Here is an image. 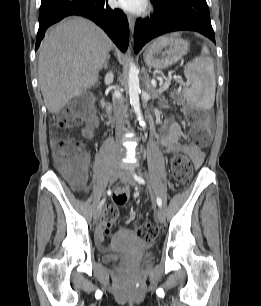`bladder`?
<instances>
[{
  "label": "bladder",
  "mask_w": 261,
  "mask_h": 306,
  "mask_svg": "<svg viewBox=\"0 0 261 306\" xmlns=\"http://www.w3.org/2000/svg\"><path fill=\"white\" fill-rule=\"evenodd\" d=\"M131 238H133L135 241L138 240L129 230L124 229L119 231L115 238V243L104 251L103 262L112 263L121 258H126L139 263L149 261L151 255L148 249L142 252H136L129 248L126 240Z\"/></svg>",
  "instance_id": "31cf9c89"
}]
</instances>
